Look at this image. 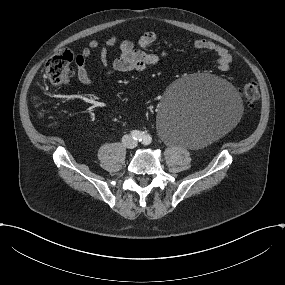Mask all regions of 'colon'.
Segmentation results:
<instances>
[{"label":"colon","instance_id":"obj_1","mask_svg":"<svg viewBox=\"0 0 285 285\" xmlns=\"http://www.w3.org/2000/svg\"><path fill=\"white\" fill-rule=\"evenodd\" d=\"M73 54L67 49L55 52L46 62L45 74L54 85H61L72 75ZM244 100L252 105L259 99V89L255 83H247L242 87Z\"/></svg>","mask_w":285,"mask_h":285}]
</instances>
